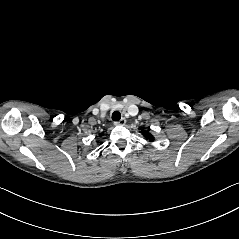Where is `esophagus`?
Returning a JSON list of instances; mask_svg holds the SVG:
<instances>
[{"mask_svg": "<svg viewBox=\"0 0 239 239\" xmlns=\"http://www.w3.org/2000/svg\"><path fill=\"white\" fill-rule=\"evenodd\" d=\"M116 125H125L126 124V119L121 118L118 122H115Z\"/></svg>", "mask_w": 239, "mask_h": 239, "instance_id": "obj_1", "label": "esophagus"}]
</instances>
